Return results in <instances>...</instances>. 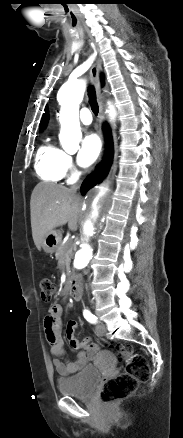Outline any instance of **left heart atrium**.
Here are the masks:
<instances>
[{
    "mask_svg": "<svg viewBox=\"0 0 183 438\" xmlns=\"http://www.w3.org/2000/svg\"><path fill=\"white\" fill-rule=\"evenodd\" d=\"M101 151V141L99 137L94 134H88L82 143L81 150L79 153V163L82 166H88L92 164Z\"/></svg>",
    "mask_w": 183,
    "mask_h": 438,
    "instance_id": "1",
    "label": "left heart atrium"
}]
</instances>
